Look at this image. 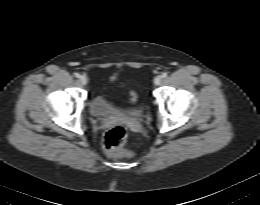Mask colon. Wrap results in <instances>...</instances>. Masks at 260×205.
Segmentation results:
<instances>
[{"label": "colon", "instance_id": "1", "mask_svg": "<svg viewBox=\"0 0 260 205\" xmlns=\"http://www.w3.org/2000/svg\"><path fill=\"white\" fill-rule=\"evenodd\" d=\"M130 101L132 103L137 101V95L134 91L130 92ZM127 136V130L121 125H116L106 131L103 141L107 154L112 157L131 156V152L124 149Z\"/></svg>", "mask_w": 260, "mask_h": 205}]
</instances>
